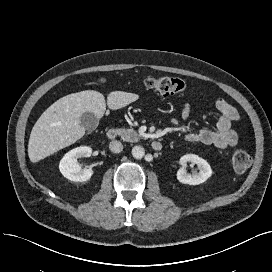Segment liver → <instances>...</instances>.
I'll use <instances>...</instances> for the list:
<instances>
[{"label": "liver", "mask_w": 272, "mask_h": 272, "mask_svg": "<svg viewBox=\"0 0 272 272\" xmlns=\"http://www.w3.org/2000/svg\"><path fill=\"white\" fill-rule=\"evenodd\" d=\"M139 95L123 91H113L107 96V106L123 108L138 100ZM91 112L99 119L106 112L103 94L86 90L66 95L39 117L30 134L28 155L31 162H38L57 151L68 147L85 135L81 126V115Z\"/></svg>", "instance_id": "liver-1"}]
</instances>
